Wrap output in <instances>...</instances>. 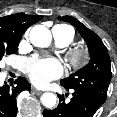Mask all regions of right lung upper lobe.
Returning <instances> with one entry per match:
<instances>
[{"instance_id":"obj_1","label":"right lung upper lobe","mask_w":117,"mask_h":117,"mask_svg":"<svg viewBox=\"0 0 117 117\" xmlns=\"http://www.w3.org/2000/svg\"><path fill=\"white\" fill-rule=\"evenodd\" d=\"M43 16L12 14L0 18V41H19L26 29Z\"/></svg>"}]
</instances>
